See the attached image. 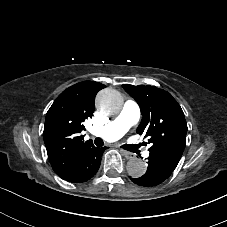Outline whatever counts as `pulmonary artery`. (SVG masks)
Returning <instances> with one entry per match:
<instances>
[{
  "instance_id": "obj_1",
  "label": "pulmonary artery",
  "mask_w": 227,
  "mask_h": 227,
  "mask_svg": "<svg viewBox=\"0 0 227 227\" xmlns=\"http://www.w3.org/2000/svg\"><path fill=\"white\" fill-rule=\"evenodd\" d=\"M140 102L131 98L125 102L120 114L107 124H100L90 128L89 133L93 137L104 135L107 141H116L122 134L127 133L130 127L135 125L140 117Z\"/></svg>"
}]
</instances>
